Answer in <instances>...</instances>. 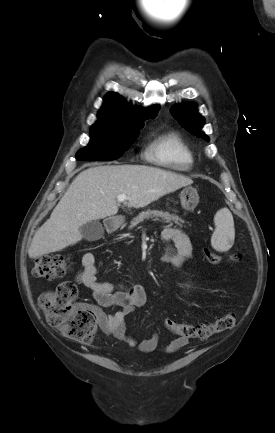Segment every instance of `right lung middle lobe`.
<instances>
[{"mask_svg": "<svg viewBox=\"0 0 275 433\" xmlns=\"http://www.w3.org/2000/svg\"><path fill=\"white\" fill-rule=\"evenodd\" d=\"M144 123L95 124L89 145L76 153V159L102 161L118 159L136 140Z\"/></svg>", "mask_w": 275, "mask_h": 433, "instance_id": "right-lung-middle-lobe-1", "label": "right lung middle lobe"}]
</instances>
